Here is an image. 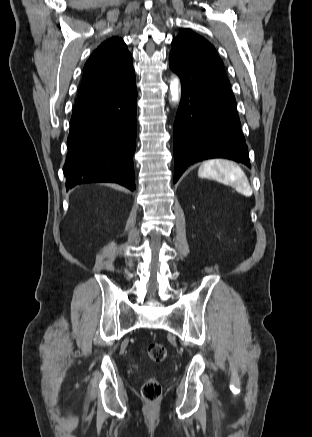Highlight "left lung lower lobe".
I'll return each instance as SVG.
<instances>
[{
    "label": "left lung lower lobe",
    "mask_w": 312,
    "mask_h": 437,
    "mask_svg": "<svg viewBox=\"0 0 312 437\" xmlns=\"http://www.w3.org/2000/svg\"><path fill=\"white\" fill-rule=\"evenodd\" d=\"M169 66L182 83L174 130V183L186 168L211 158H226L251 167L230 89L169 56Z\"/></svg>",
    "instance_id": "obj_1"
}]
</instances>
